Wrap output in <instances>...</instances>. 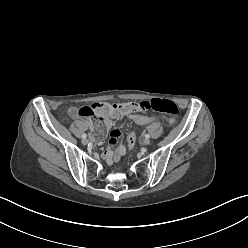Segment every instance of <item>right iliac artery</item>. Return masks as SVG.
Instances as JSON below:
<instances>
[{
    "label": "right iliac artery",
    "mask_w": 248,
    "mask_h": 248,
    "mask_svg": "<svg viewBox=\"0 0 248 248\" xmlns=\"http://www.w3.org/2000/svg\"><path fill=\"white\" fill-rule=\"evenodd\" d=\"M86 137H87V135H86V134H83V135H82V138H86Z\"/></svg>",
    "instance_id": "right-iliac-artery-1"
}]
</instances>
